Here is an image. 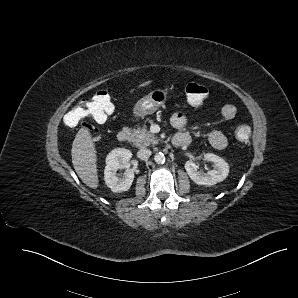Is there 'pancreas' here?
<instances>
[{
  "instance_id": "1",
  "label": "pancreas",
  "mask_w": 298,
  "mask_h": 298,
  "mask_svg": "<svg viewBox=\"0 0 298 298\" xmlns=\"http://www.w3.org/2000/svg\"><path fill=\"white\" fill-rule=\"evenodd\" d=\"M132 143L138 148H145L152 145H157L162 141L158 136L148 131L144 127H135L131 133Z\"/></svg>"
}]
</instances>
